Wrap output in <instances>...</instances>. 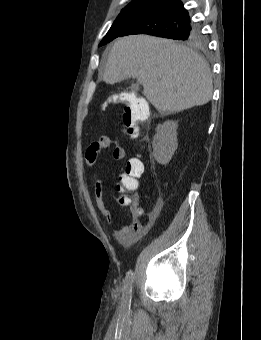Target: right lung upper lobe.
<instances>
[{"mask_svg":"<svg viewBox=\"0 0 261 340\" xmlns=\"http://www.w3.org/2000/svg\"><path fill=\"white\" fill-rule=\"evenodd\" d=\"M162 0H133L131 3H138V2H154V3H160ZM130 3V4H131Z\"/></svg>","mask_w":261,"mask_h":340,"instance_id":"cb5924a9","label":"right lung upper lobe"}]
</instances>
